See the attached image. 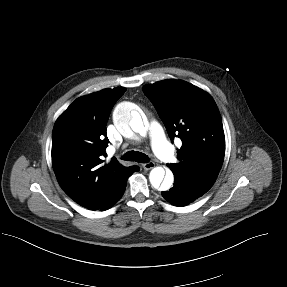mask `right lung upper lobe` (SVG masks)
<instances>
[{"mask_svg":"<svg viewBox=\"0 0 287 287\" xmlns=\"http://www.w3.org/2000/svg\"><path fill=\"white\" fill-rule=\"evenodd\" d=\"M125 88L103 89L79 97L56 120L52 133V165L64 192L79 205L100 209L113 202L138 171L115 157L104 163L108 146L106 124Z\"/></svg>","mask_w":287,"mask_h":287,"instance_id":"obj_1","label":"right lung upper lobe"}]
</instances>
